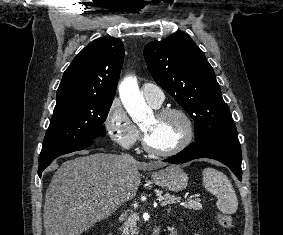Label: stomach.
Returning <instances> with one entry per match:
<instances>
[{
  "label": "stomach",
  "instance_id": "stomach-1",
  "mask_svg": "<svg viewBox=\"0 0 283 235\" xmlns=\"http://www.w3.org/2000/svg\"><path fill=\"white\" fill-rule=\"evenodd\" d=\"M151 178L160 187L175 192L185 189L188 184L186 173L175 165L152 172Z\"/></svg>",
  "mask_w": 283,
  "mask_h": 235
}]
</instances>
